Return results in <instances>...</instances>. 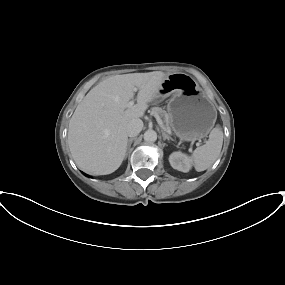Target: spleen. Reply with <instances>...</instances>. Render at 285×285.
Returning a JSON list of instances; mask_svg holds the SVG:
<instances>
[{
  "instance_id": "obj_1",
  "label": "spleen",
  "mask_w": 285,
  "mask_h": 285,
  "mask_svg": "<svg viewBox=\"0 0 285 285\" xmlns=\"http://www.w3.org/2000/svg\"><path fill=\"white\" fill-rule=\"evenodd\" d=\"M222 145L223 131L220 127H215L210 132L206 144L197 147L192 154L196 171L201 172L211 167L219 157Z\"/></svg>"
}]
</instances>
